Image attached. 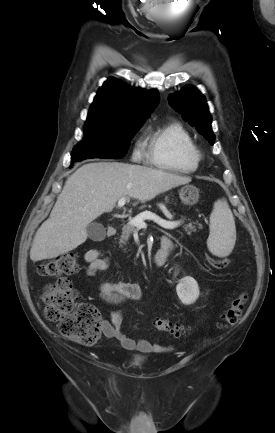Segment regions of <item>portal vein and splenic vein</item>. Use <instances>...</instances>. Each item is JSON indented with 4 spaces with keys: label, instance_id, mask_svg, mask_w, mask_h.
Segmentation results:
<instances>
[{
    "label": "portal vein and splenic vein",
    "instance_id": "portal-vein-and-splenic-vein-1",
    "mask_svg": "<svg viewBox=\"0 0 275 433\" xmlns=\"http://www.w3.org/2000/svg\"><path fill=\"white\" fill-rule=\"evenodd\" d=\"M126 200H127L126 197L121 198L118 201V207L124 206L126 203ZM145 220H152L156 224H158L159 226H161L165 229H174L180 224V222L164 220V219L160 218L159 216H157L156 214H153L151 212H144V213L140 214L139 216L133 218L129 223L131 225H134L135 227H142L145 225V222H144Z\"/></svg>",
    "mask_w": 275,
    "mask_h": 433
}]
</instances>
